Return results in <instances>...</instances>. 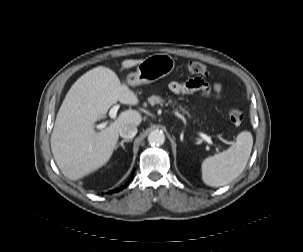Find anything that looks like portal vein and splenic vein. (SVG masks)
Listing matches in <instances>:
<instances>
[{"mask_svg":"<svg viewBox=\"0 0 303 252\" xmlns=\"http://www.w3.org/2000/svg\"><path fill=\"white\" fill-rule=\"evenodd\" d=\"M118 109H119V106H118V105H115V106H113V107L110 109V111H109V116H110V118H112V119L116 118ZM107 123H108V122H103V123H101V124H98V125L96 126V128H97L98 130H101V129H103V128L106 127ZM199 135H200L206 142H208L209 144H213V141H212L211 137H209V136H207L206 134H203V133H199Z\"/></svg>","mask_w":303,"mask_h":252,"instance_id":"obj_1","label":"portal vein and splenic vein"}]
</instances>
